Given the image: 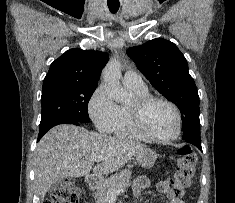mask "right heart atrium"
<instances>
[{
  "mask_svg": "<svg viewBox=\"0 0 235 203\" xmlns=\"http://www.w3.org/2000/svg\"><path fill=\"white\" fill-rule=\"evenodd\" d=\"M87 109L92 122L100 132H111L118 117V105L105 85L101 84L94 90Z\"/></svg>",
  "mask_w": 235,
  "mask_h": 203,
  "instance_id": "d8ad5b80",
  "label": "right heart atrium"
}]
</instances>
